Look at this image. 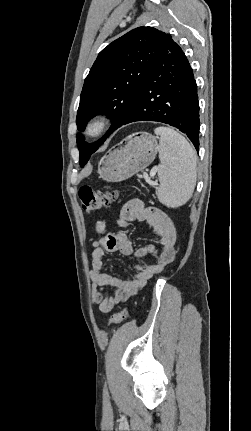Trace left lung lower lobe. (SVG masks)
<instances>
[{
  "label": "left lung lower lobe",
  "instance_id": "left-lung-lower-lobe-1",
  "mask_svg": "<svg viewBox=\"0 0 251 431\" xmlns=\"http://www.w3.org/2000/svg\"><path fill=\"white\" fill-rule=\"evenodd\" d=\"M199 102L192 68L171 36L161 45L155 62L125 120L157 121L176 127L199 150Z\"/></svg>",
  "mask_w": 251,
  "mask_h": 431
}]
</instances>
